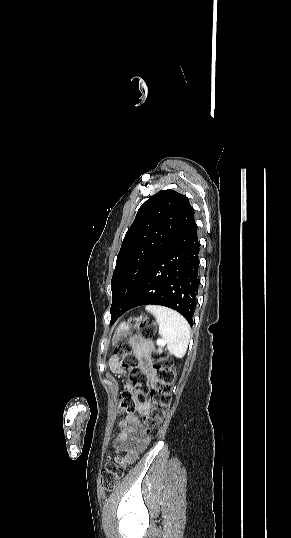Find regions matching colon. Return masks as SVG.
<instances>
[{
    "label": "colon",
    "mask_w": 291,
    "mask_h": 538,
    "mask_svg": "<svg viewBox=\"0 0 291 538\" xmlns=\"http://www.w3.org/2000/svg\"><path fill=\"white\" fill-rule=\"evenodd\" d=\"M134 328L142 338H150L155 331L154 324L149 320L134 323ZM114 353L120 359V366L127 373L129 381L134 387L133 390L120 393L119 413L124 415L132 414L136 407L144 403L149 395L152 398V412L151 415L144 419V430L148 437L154 438L160 432L162 420L171 402V388L175 380V372L162 355L152 353L151 359L152 366L156 372V383L151 387L149 376L143 367L141 357L131 352L129 344L119 345ZM123 472L124 466L118 457L107 461L101 473L102 487L106 490L116 488L123 476Z\"/></svg>",
    "instance_id": "colon-1"
}]
</instances>
